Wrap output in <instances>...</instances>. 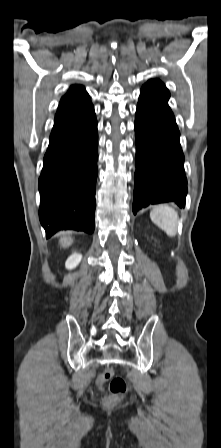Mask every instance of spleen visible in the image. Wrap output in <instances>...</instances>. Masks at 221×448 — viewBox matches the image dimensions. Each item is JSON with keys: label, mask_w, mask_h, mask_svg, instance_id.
Segmentation results:
<instances>
[{"label": "spleen", "mask_w": 221, "mask_h": 448, "mask_svg": "<svg viewBox=\"0 0 221 448\" xmlns=\"http://www.w3.org/2000/svg\"><path fill=\"white\" fill-rule=\"evenodd\" d=\"M152 222L169 237H175L178 228V213L168 205H158L150 212Z\"/></svg>", "instance_id": "obj_1"}]
</instances>
